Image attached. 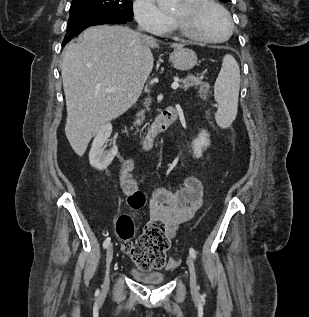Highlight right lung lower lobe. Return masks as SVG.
Here are the masks:
<instances>
[{"label": "right lung lower lobe", "instance_id": "right-lung-lower-lobe-1", "mask_svg": "<svg viewBox=\"0 0 309 317\" xmlns=\"http://www.w3.org/2000/svg\"><path fill=\"white\" fill-rule=\"evenodd\" d=\"M126 22L127 21L123 19L110 15L93 13L72 15L68 20L67 35H65L62 46H65V44H67L71 38L79 35L87 27L101 24H122Z\"/></svg>", "mask_w": 309, "mask_h": 317}]
</instances>
